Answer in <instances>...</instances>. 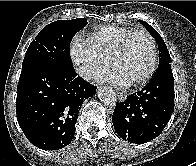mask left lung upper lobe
<instances>
[{
	"instance_id": "1",
	"label": "left lung upper lobe",
	"mask_w": 196,
	"mask_h": 166,
	"mask_svg": "<svg viewBox=\"0 0 196 166\" xmlns=\"http://www.w3.org/2000/svg\"><path fill=\"white\" fill-rule=\"evenodd\" d=\"M146 29L150 32V34L155 38L158 47H159V66L167 65L171 63V57L169 54V51L167 49L166 44L164 43L163 39L161 36L158 34V32L150 26L148 23L145 21H140Z\"/></svg>"
}]
</instances>
